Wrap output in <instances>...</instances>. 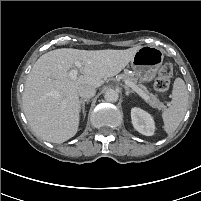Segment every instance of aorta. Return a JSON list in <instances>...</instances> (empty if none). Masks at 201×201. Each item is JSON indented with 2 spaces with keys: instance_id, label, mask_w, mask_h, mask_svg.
<instances>
[{
  "instance_id": "obj_1",
  "label": "aorta",
  "mask_w": 201,
  "mask_h": 201,
  "mask_svg": "<svg viewBox=\"0 0 201 201\" xmlns=\"http://www.w3.org/2000/svg\"><path fill=\"white\" fill-rule=\"evenodd\" d=\"M119 98V94L116 90L114 89H107L104 93V99L107 102H116Z\"/></svg>"
}]
</instances>
